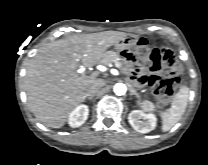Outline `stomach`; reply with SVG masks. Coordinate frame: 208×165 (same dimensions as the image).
Returning <instances> with one entry per match:
<instances>
[{
    "instance_id": "0dacf381",
    "label": "stomach",
    "mask_w": 208,
    "mask_h": 165,
    "mask_svg": "<svg viewBox=\"0 0 208 165\" xmlns=\"http://www.w3.org/2000/svg\"><path fill=\"white\" fill-rule=\"evenodd\" d=\"M138 42L137 37H128L126 36L124 39L118 41L115 43V48L121 52L122 49L127 48V49H132L133 47L136 46Z\"/></svg>"
}]
</instances>
